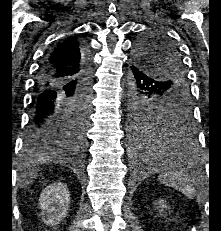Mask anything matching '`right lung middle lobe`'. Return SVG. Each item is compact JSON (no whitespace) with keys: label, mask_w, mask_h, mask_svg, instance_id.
Returning a JSON list of instances; mask_svg holds the SVG:
<instances>
[{"label":"right lung middle lobe","mask_w":221,"mask_h":231,"mask_svg":"<svg viewBox=\"0 0 221 231\" xmlns=\"http://www.w3.org/2000/svg\"><path fill=\"white\" fill-rule=\"evenodd\" d=\"M89 108L90 103L79 98L64 111V129L77 143L85 144Z\"/></svg>","instance_id":"1"}]
</instances>
